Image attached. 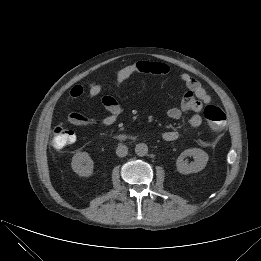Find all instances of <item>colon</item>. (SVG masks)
<instances>
[{"label":"colon","mask_w":261,"mask_h":261,"mask_svg":"<svg viewBox=\"0 0 261 261\" xmlns=\"http://www.w3.org/2000/svg\"><path fill=\"white\" fill-rule=\"evenodd\" d=\"M204 117L210 127L216 131L221 130L226 123V114L216 105H208L204 109ZM75 141L74 132L63 125L56 126L53 130L52 145L56 149H62Z\"/></svg>","instance_id":"colon-1"}]
</instances>
